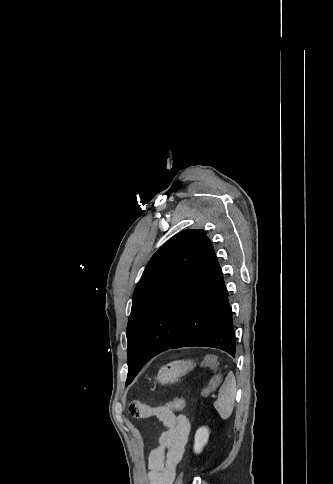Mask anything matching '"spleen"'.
I'll return each instance as SVG.
<instances>
[{
  "label": "spleen",
  "instance_id": "obj_1",
  "mask_svg": "<svg viewBox=\"0 0 333 484\" xmlns=\"http://www.w3.org/2000/svg\"><path fill=\"white\" fill-rule=\"evenodd\" d=\"M214 381L211 382V385ZM236 395V380L233 372H229L225 382L219 389L218 399L214 402V408L222 419H228L233 411Z\"/></svg>",
  "mask_w": 333,
  "mask_h": 484
}]
</instances>
